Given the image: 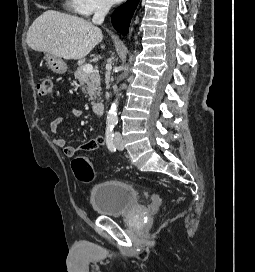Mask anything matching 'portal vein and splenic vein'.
I'll return each instance as SVG.
<instances>
[{"instance_id":"1","label":"portal vein and splenic vein","mask_w":255,"mask_h":272,"mask_svg":"<svg viewBox=\"0 0 255 272\" xmlns=\"http://www.w3.org/2000/svg\"><path fill=\"white\" fill-rule=\"evenodd\" d=\"M84 72L85 73H91V72H93V66L91 64H86L84 66Z\"/></svg>"}]
</instances>
